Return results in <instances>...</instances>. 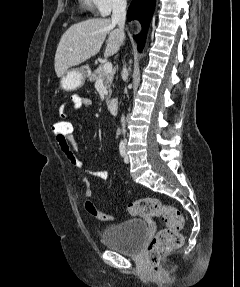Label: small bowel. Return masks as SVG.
<instances>
[{
	"label": "small bowel",
	"instance_id": "c3829d8e",
	"mask_svg": "<svg viewBox=\"0 0 240 287\" xmlns=\"http://www.w3.org/2000/svg\"><path fill=\"white\" fill-rule=\"evenodd\" d=\"M91 104V99L82 97L77 93H73L70 97L69 108L65 102L60 105V116L67 119L71 113L77 112L82 107H89ZM57 144L71 165L81 169L82 172L88 176L96 177L101 180L108 179L109 172L107 170L93 171L86 169L85 161L78 150L76 137L74 135V127L72 129L71 136L66 141L57 140Z\"/></svg>",
	"mask_w": 240,
	"mask_h": 287
}]
</instances>
